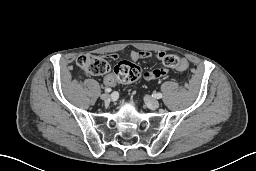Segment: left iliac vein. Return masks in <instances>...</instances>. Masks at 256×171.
Instances as JSON below:
<instances>
[{
  "label": "left iliac vein",
  "mask_w": 256,
  "mask_h": 171,
  "mask_svg": "<svg viewBox=\"0 0 256 171\" xmlns=\"http://www.w3.org/2000/svg\"><path fill=\"white\" fill-rule=\"evenodd\" d=\"M144 101H145L146 105L151 109H157L160 106L158 100H156L155 98H152L148 95L144 96Z\"/></svg>",
  "instance_id": "1"
}]
</instances>
